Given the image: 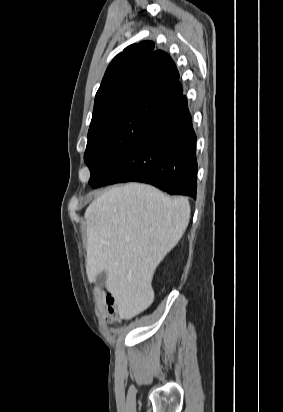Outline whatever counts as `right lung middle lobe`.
<instances>
[{
    "mask_svg": "<svg viewBox=\"0 0 283 412\" xmlns=\"http://www.w3.org/2000/svg\"><path fill=\"white\" fill-rule=\"evenodd\" d=\"M163 110L131 107L91 122L84 159L91 177L98 180L152 126Z\"/></svg>",
    "mask_w": 283,
    "mask_h": 412,
    "instance_id": "dd1d6c3e",
    "label": "right lung middle lobe"
}]
</instances>
